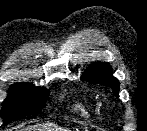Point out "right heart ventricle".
<instances>
[{"label": "right heart ventricle", "mask_w": 147, "mask_h": 131, "mask_svg": "<svg viewBox=\"0 0 147 131\" xmlns=\"http://www.w3.org/2000/svg\"><path fill=\"white\" fill-rule=\"evenodd\" d=\"M72 110L78 114H80L83 117H88L89 116V112L88 109L85 105L84 102L82 101H76L73 105H72Z\"/></svg>", "instance_id": "right-heart-ventricle-1"}]
</instances>
